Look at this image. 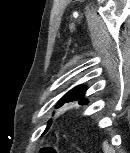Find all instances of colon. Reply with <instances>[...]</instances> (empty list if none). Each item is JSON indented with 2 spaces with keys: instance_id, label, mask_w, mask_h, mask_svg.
Instances as JSON below:
<instances>
[{
  "instance_id": "colon-1",
  "label": "colon",
  "mask_w": 130,
  "mask_h": 153,
  "mask_svg": "<svg viewBox=\"0 0 130 153\" xmlns=\"http://www.w3.org/2000/svg\"><path fill=\"white\" fill-rule=\"evenodd\" d=\"M45 153H48L49 152V149H44L43 150Z\"/></svg>"
}]
</instances>
